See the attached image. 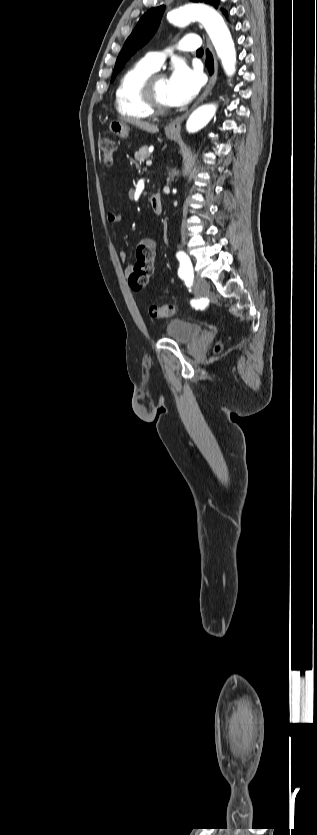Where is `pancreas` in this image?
I'll return each mask as SVG.
<instances>
[{
    "label": "pancreas",
    "instance_id": "cf45deb5",
    "mask_svg": "<svg viewBox=\"0 0 317 835\" xmlns=\"http://www.w3.org/2000/svg\"><path fill=\"white\" fill-rule=\"evenodd\" d=\"M149 157H150V153L148 151V146H143L138 151H136L134 153V158L139 163L144 162Z\"/></svg>",
    "mask_w": 317,
    "mask_h": 835
}]
</instances>
